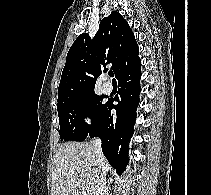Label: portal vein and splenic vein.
Segmentation results:
<instances>
[{
    "label": "portal vein and splenic vein",
    "instance_id": "1",
    "mask_svg": "<svg viewBox=\"0 0 211 195\" xmlns=\"http://www.w3.org/2000/svg\"><path fill=\"white\" fill-rule=\"evenodd\" d=\"M82 195H86V192H83V194Z\"/></svg>",
    "mask_w": 211,
    "mask_h": 195
}]
</instances>
